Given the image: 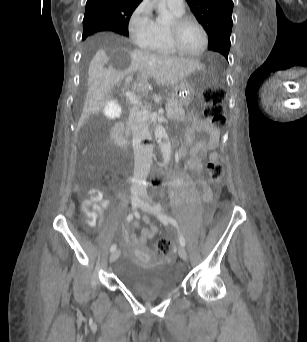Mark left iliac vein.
Listing matches in <instances>:
<instances>
[{
	"instance_id": "4c4485c4",
	"label": "left iliac vein",
	"mask_w": 307,
	"mask_h": 342,
	"mask_svg": "<svg viewBox=\"0 0 307 342\" xmlns=\"http://www.w3.org/2000/svg\"><path fill=\"white\" fill-rule=\"evenodd\" d=\"M140 208L143 211H146V212H149V213H152L155 215L158 214L159 212H161V207L158 205H154L151 200H142V203L140 204ZM178 254H179L181 259L187 260L188 256H187V252H186L184 246L179 245Z\"/></svg>"
}]
</instances>
